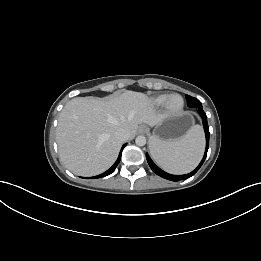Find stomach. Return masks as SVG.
<instances>
[{
    "instance_id": "obj_1",
    "label": "stomach",
    "mask_w": 261,
    "mask_h": 261,
    "mask_svg": "<svg viewBox=\"0 0 261 261\" xmlns=\"http://www.w3.org/2000/svg\"><path fill=\"white\" fill-rule=\"evenodd\" d=\"M194 119L188 112L166 116L155 125L151 138L171 141L182 137L193 125Z\"/></svg>"
}]
</instances>
